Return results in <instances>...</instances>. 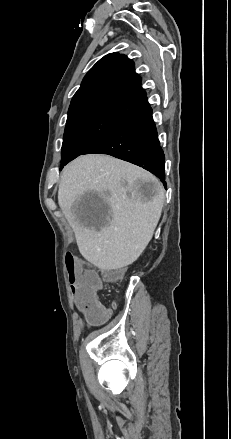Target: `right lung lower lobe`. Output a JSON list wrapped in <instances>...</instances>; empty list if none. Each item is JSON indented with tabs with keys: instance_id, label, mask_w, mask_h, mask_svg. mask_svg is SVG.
<instances>
[{
	"instance_id": "obj_1",
	"label": "right lung lower lobe",
	"mask_w": 231,
	"mask_h": 439,
	"mask_svg": "<svg viewBox=\"0 0 231 439\" xmlns=\"http://www.w3.org/2000/svg\"><path fill=\"white\" fill-rule=\"evenodd\" d=\"M108 154L136 164L165 183V157L149 104L119 122L83 154Z\"/></svg>"
}]
</instances>
